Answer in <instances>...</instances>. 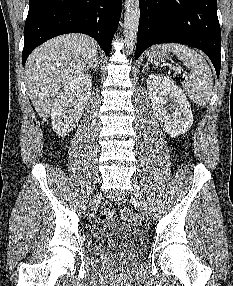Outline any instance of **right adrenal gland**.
<instances>
[{
    "label": "right adrenal gland",
    "mask_w": 233,
    "mask_h": 286,
    "mask_svg": "<svg viewBox=\"0 0 233 286\" xmlns=\"http://www.w3.org/2000/svg\"><path fill=\"white\" fill-rule=\"evenodd\" d=\"M89 69H95V71H98V69H99V58H96L94 64Z\"/></svg>",
    "instance_id": "right-adrenal-gland-1"
}]
</instances>
